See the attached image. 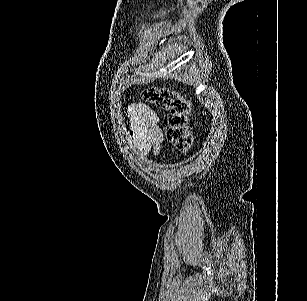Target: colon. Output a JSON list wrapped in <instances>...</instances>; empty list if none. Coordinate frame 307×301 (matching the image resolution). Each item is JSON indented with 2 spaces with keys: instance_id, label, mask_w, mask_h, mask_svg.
Returning a JSON list of instances; mask_svg holds the SVG:
<instances>
[{
  "instance_id": "colon-1",
  "label": "colon",
  "mask_w": 307,
  "mask_h": 301,
  "mask_svg": "<svg viewBox=\"0 0 307 301\" xmlns=\"http://www.w3.org/2000/svg\"><path fill=\"white\" fill-rule=\"evenodd\" d=\"M141 98L166 112L167 139L179 152H189L193 145V135L188 126L189 101L175 91L159 87L145 88Z\"/></svg>"
}]
</instances>
